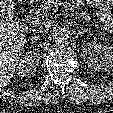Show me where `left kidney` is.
I'll return each instance as SVG.
<instances>
[{
    "mask_svg": "<svg viewBox=\"0 0 113 113\" xmlns=\"http://www.w3.org/2000/svg\"><path fill=\"white\" fill-rule=\"evenodd\" d=\"M85 64L95 71H108L113 67L112 47L88 42L81 47Z\"/></svg>",
    "mask_w": 113,
    "mask_h": 113,
    "instance_id": "left-kidney-1",
    "label": "left kidney"
}]
</instances>
